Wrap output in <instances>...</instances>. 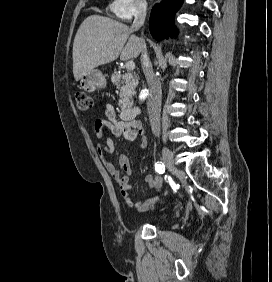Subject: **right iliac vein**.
<instances>
[{"label":"right iliac vein","instance_id":"1","mask_svg":"<svg viewBox=\"0 0 272 282\" xmlns=\"http://www.w3.org/2000/svg\"><path fill=\"white\" fill-rule=\"evenodd\" d=\"M162 158L166 167L173 173L176 174L177 168L174 164V159L171 151L167 147H163L162 149Z\"/></svg>","mask_w":272,"mask_h":282}]
</instances>
